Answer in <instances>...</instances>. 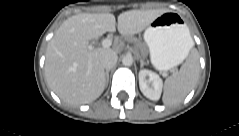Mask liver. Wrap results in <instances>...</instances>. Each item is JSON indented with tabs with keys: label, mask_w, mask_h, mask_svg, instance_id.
<instances>
[{
	"label": "liver",
	"mask_w": 239,
	"mask_h": 136,
	"mask_svg": "<svg viewBox=\"0 0 239 136\" xmlns=\"http://www.w3.org/2000/svg\"><path fill=\"white\" fill-rule=\"evenodd\" d=\"M165 10H131L121 13L117 29L121 35L142 32ZM113 14L80 13L66 19L46 50L45 77L50 88L68 104H86L96 100L104 91L106 75L100 55L109 48L92 49L89 41L106 32H115Z\"/></svg>",
	"instance_id": "6515ba94"
}]
</instances>
